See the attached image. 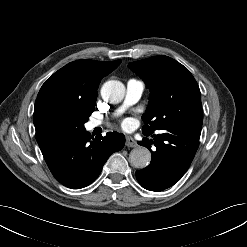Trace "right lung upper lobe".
Masks as SVG:
<instances>
[{
    "label": "right lung upper lobe",
    "mask_w": 247,
    "mask_h": 247,
    "mask_svg": "<svg viewBox=\"0 0 247 247\" xmlns=\"http://www.w3.org/2000/svg\"><path fill=\"white\" fill-rule=\"evenodd\" d=\"M120 63L121 60L103 62L82 59L67 64L42 85L35 102L33 118L49 104L94 107L101 79Z\"/></svg>",
    "instance_id": "1"
}]
</instances>
